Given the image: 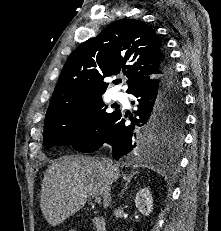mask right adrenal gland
I'll return each mask as SVG.
<instances>
[{
	"instance_id": "obj_1",
	"label": "right adrenal gland",
	"mask_w": 221,
	"mask_h": 231,
	"mask_svg": "<svg viewBox=\"0 0 221 231\" xmlns=\"http://www.w3.org/2000/svg\"><path fill=\"white\" fill-rule=\"evenodd\" d=\"M136 174H137V172H132L130 175L123 174L122 178L125 181V186H124V189L122 190V192L120 194V197H122L124 195V192L128 189V186H129L132 178Z\"/></svg>"
}]
</instances>
